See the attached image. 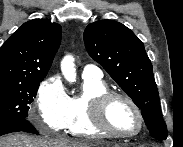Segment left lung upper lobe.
<instances>
[{"label": "left lung upper lobe", "instance_id": "1", "mask_svg": "<svg viewBox=\"0 0 183 147\" xmlns=\"http://www.w3.org/2000/svg\"><path fill=\"white\" fill-rule=\"evenodd\" d=\"M89 55L97 61L141 109L150 134L167 138L153 68L143 43L123 24L100 20L84 31Z\"/></svg>", "mask_w": 183, "mask_h": 147}]
</instances>
